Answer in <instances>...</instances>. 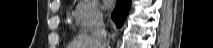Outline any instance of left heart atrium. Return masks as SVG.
<instances>
[{"label": "left heart atrium", "mask_w": 213, "mask_h": 48, "mask_svg": "<svg viewBox=\"0 0 213 48\" xmlns=\"http://www.w3.org/2000/svg\"><path fill=\"white\" fill-rule=\"evenodd\" d=\"M111 5H112V1L106 0V1H104L103 7L108 9L111 7Z\"/></svg>", "instance_id": "1"}]
</instances>
